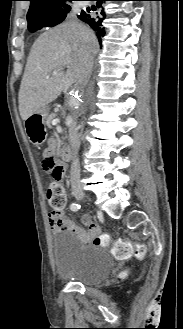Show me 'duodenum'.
<instances>
[{
  "instance_id": "duodenum-1",
  "label": "duodenum",
  "mask_w": 183,
  "mask_h": 329,
  "mask_svg": "<svg viewBox=\"0 0 183 329\" xmlns=\"http://www.w3.org/2000/svg\"><path fill=\"white\" fill-rule=\"evenodd\" d=\"M61 157L64 162H69L73 157V151L70 147H64L61 150Z\"/></svg>"
}]
</instances>
